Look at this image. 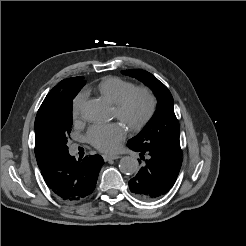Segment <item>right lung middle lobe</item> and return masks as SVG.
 <instances>
[{
  "label": "right lung middle lobe",
  "instance_id": "right-lung-middle-lobe-1",
  "mask_svg": "<svg viewBox=\"0 0 246 246\" xmlns=\"http://www.w3.org/2000/svg\"><path fill=\"white\" fill-rule=\"evenodd\" d=\"M83 85L69 88L53 103L50 114V138L58 156L68 154L67 140L72 126V102Z\"/></svg>",
  "mask_w": 246,
  "mask_h": 246
}]
</instances>
